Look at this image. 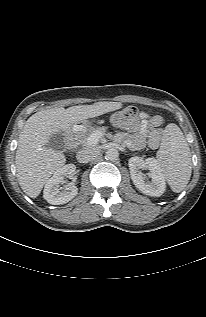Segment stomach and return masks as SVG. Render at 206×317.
I'll return each instance as SVG.
<instances>
[{
	"mask_svg": "<svg viewBox=\"0 0 206 317\" xmlns=\"http://www.w3.org/2000/svg\"><path fill=\"white\" fill-rule=\"evenodd\" d=\"M99 127H104V129L107 127V119L104 116L92 117L80 123V130L82 132L89 130V133H91L94 129Z\"/></svg>",
	"mask_w": 206,
	"mask_h": 317,
	"instance_id": "stomach-1",
	"label": "stomach"
}]
</instances>
